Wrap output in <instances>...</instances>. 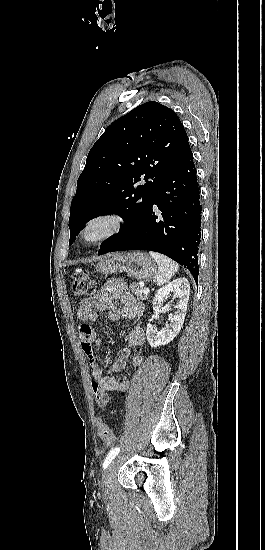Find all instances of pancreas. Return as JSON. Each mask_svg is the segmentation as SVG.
Segmentation results:
<instances>
[{
    "mask_svg": "<svg viewBox=\"0 0 265 550\" xmlns=\"http://www.w3.org/2000/svg\"><path fill=\"white\" fill-rule=\"evenodd\" d=\"M131 292L135 294L138 299L146 300L148 299V295L144 294V288H142L139 284L134 283L130 285Z\"/></svg>",
    "mask_w": 265,
    "mask_h": 550,
    "instance_id": "1",
    "label": "pancreas"
}]
</instances>
